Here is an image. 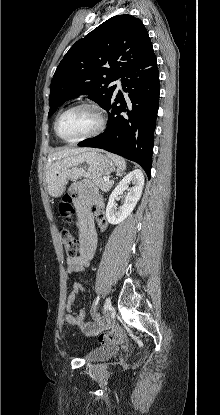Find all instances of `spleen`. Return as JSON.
Segmentation results:
<instances>
[{
	"mask_svg": "<svg viewBox=\"0 0 220 415\" xmlns=\"http://www.w3.org/2000/svg\"><path fill=\"white\" fill-rule=\"evenodd\" d=\"M106 154L117 165L119 169H122V170L126 169V161L124 158L118 155L112 154V153H106Z\"/></svg>",
	"mask_w": 220,
	"mask_h": 415,
	"instance_id": "obj_1",
	"label": "spleen"
}]
</instances>
